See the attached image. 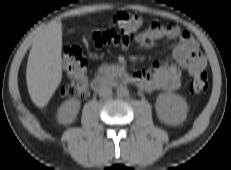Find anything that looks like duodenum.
I'll list each match as a JSON object with an SVG mask.
<instances>
[{"label":"duodenum","instance_id":"duodenum-1","mask_svg":"<svg viewBox=\"0 0 231 170\" xmlns=\"http://www.w3.org/2000/svg\"><path fill=\"white\" fill-rule=\"evenodd\" d=\"M135 80L126 75L120 69H114L113 73L106 77L101 74L96 75L91 83L92 89L94 91H100L105 86H113V85H123V84H134Z\"/></svg>","mask_w":231,"mask_h":170}]
</instances>
